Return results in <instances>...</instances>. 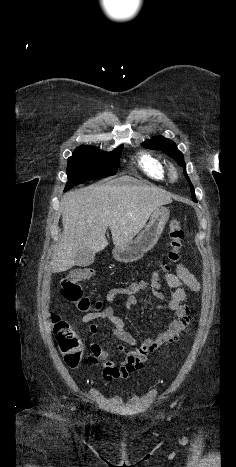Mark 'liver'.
Returning <instances> with one entry per match:
<instances>
[{"label":"liver","mask_w":236,"mask_h":467,"mask_svg":"<svg viewBox=\"0 0 236 467\" xmlns=\"http://www.w3.org/2000/svg\"><path fill=\"white\" fill-rule=\"evenodd\" d=\"M171 202L170 193L130 176L66 193L61 200L63 233L51 260V271L72 268L81 249L95 254L106 248L108 227L115 246L131 241L155 209Z\"/></svg>","instance_id":"6515ba94"}]
</instances>
